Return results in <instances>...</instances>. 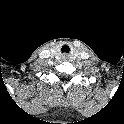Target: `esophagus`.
Masks as SVG:
<instances>
[{
	"mask_svg": "<svg viewBox=\"0 0 124 124\" xmlns=\"http://www.w3.org/2000/svg\"><path fill=\"white\" fill-rule=\"evenodd\" d=\"M63 59H64V60H67V59H68V55H67V54H64V55H63Z\"/></svg>",
	"mask_w": 124,
	"mask_h": 124,
	"instance_id": "1",
	"label": "esophagus"
}]
</instances>
